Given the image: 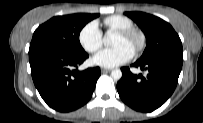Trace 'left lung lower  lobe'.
<instances>
[{
  "label": "left lung lower lobe",
  "instance_id": "1",
  "mask_svg": "<svg viewBox=\"0 0 203 123\" xmlns=\"http://www.w3.org/2000/svg\"><path fill=\"white\" fill-rule=\"evenodd\" d=\"M183 64L182 51H169L132 66L146 74H132L128 67L121 68L122 78L117 83L118 93L125 104L134 110L151 112L164 104L174 92Z\"/></svg>",
  "mask_w": 203,
  "mask_h": 123
}]
</instances>
